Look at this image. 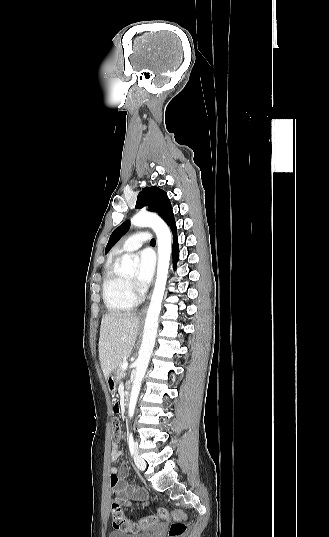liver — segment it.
<instances>
[{
	"mask_svg": "<svg viewBox=\"0 0 329 537\" xmlns=\"http://www.w3.org/2000/svg\"><path fill=\"white\" fill-rule=\"evenodd\" d=\"M139 319L131 313H111L103 316L99 337V360L105 379L120 361L131 353Z\"/></svg>",
	"mask_w": 329,
	"mask_h": 537,
	"instance_id": "obj_1",
	"label": "liver"
}]
</instances>
